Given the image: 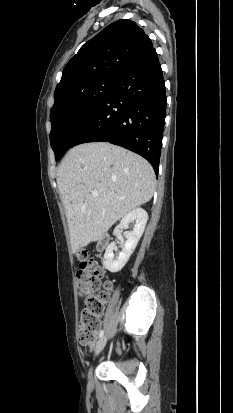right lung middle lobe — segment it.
<instances>
[{"label": "right lung middle lobe", "instance_id": "right-lung-middle-lobe-1", "mask_svg": "<svg viewBox=\"0 0 233 413\" xmlns=\"http://www.w3.org/2000/svg\"><path fill=\"white\" fill-rule=\"evenodd\" d=\"M114 82L115 78H100L55 100L50 113V142L56 160L71 147L110 92Z\"/></svg>", "mask_w": 233, "mask_h": 413}]
</instances>
